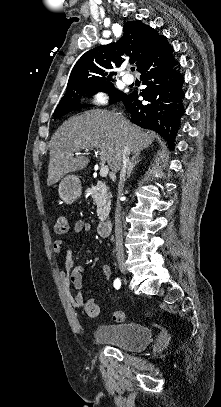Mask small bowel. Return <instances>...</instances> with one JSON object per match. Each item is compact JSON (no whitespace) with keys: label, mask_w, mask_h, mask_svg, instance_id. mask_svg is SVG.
Here are the masks:
<instances>
[{"label":"small bowel","mask_w":221,"mask_h":407,"mask_svg":"<svg viewBox=\"0 0 221 407\" xmlns=\"http://www.w3.org/2000/svg\"><path fill=\"white\" fill-rule=\"evenodd\" d=\"M91 225L84 220H77L74 223L73 231L75 234L88 232ZM66 243L62 239H58L53 244V253L55 256H64V265L60 269L59 279L64 293L70 304L80 310L84 307V295L82 293L83 281L85 277V269L81 266H75L73 262V251L70 248H65ZM102 272L106 278H110L111 269L108 265L102 267ZM71 287H74L76 294L71 292Z\"/></svg>","instance_id":"obj_1"}]
</instances>
